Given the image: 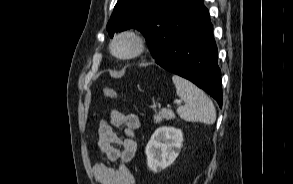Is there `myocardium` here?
<instances>
[{
    "instance_id": "myocardium-1",
    "label": "myocardium",
    "mask_w": 293,
    "mask_h": 184,
    "mask_svg": "<svg viewBox=\"0 0 293 184\" xmlns=\"http://www.w3.org/2000/svg\"><path fill=\"white\" fill-rule=\"evenodd\" d=\"M124 38H128L132 41L133 43V50L130 53L127 54H119L116 52L115 50V46L117 44L118 41H120L121 39ZM147 47V41L145 36L135 30V29H125L121 32H119L111 41L110 43V51L111 53L118 59L121 60H131V59H135L139 56H141Z\"/></svg>"
}]
</instances>
